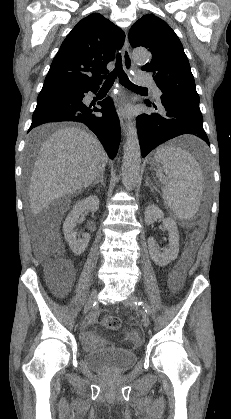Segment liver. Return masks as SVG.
<instances>
[{
	"label": "liver",
	"instance_id": "6515ba94",
	"mask_svg": "<svg viewBox=\"0 0 231 419\" xmlns=\"http://www.w3.org/2000/svg\"><path fill=\"white\" fill-rule=\"evenodd\" d=\"M49 128L34 129L31 139L37 140ZM107 162V153L93 134L76 127L56 130L42 144L32 170L29 199L33 214L55 199L88 187Z\"/></svg>",
	"mask_w": 231,
	"mask_h": 419
}]
</instances>
